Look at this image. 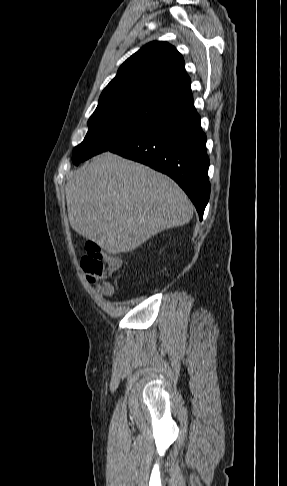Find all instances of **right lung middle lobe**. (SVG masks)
<instances>
[{"instance_id": "obj_1", "label": "right lung middle lobe", "mask_w": 287, "mask_h": 486, "mask_svg": "<svg viewBox=\"0 0 287 486\" xmlns=\"http://www.w3.org/2000/svg\"><path fill=\"white\" fill-rule=\"evenodd\" d=\"M170 111L147 103H123L97 107L88 121L83 142L72 153L75 165L134 139Z\"/></svg>"}]
</instances>
